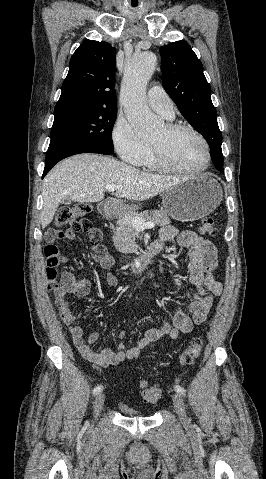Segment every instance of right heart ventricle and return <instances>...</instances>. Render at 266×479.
Returning a JSON list of instances; mask_svg holds the SVG:
<instances>
[{
    "instance_id": "1",
    "label": "right heart ventricle",
    "mask_w": 266,
    "mask_h": 479,
    "mask_svg": "<svg viewBox=\"0 0 266 479\" xmlns=\"http://www.w3.org/2000/svg\"><path fill=\"white\" fill-rule=\"evenodd\" d=\"M142 168L148 170V171H160L161 168L155 161V158L153 156V152L149 154V156L139 165Z\"/></svg>"
}]
</instances>
